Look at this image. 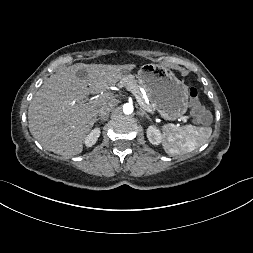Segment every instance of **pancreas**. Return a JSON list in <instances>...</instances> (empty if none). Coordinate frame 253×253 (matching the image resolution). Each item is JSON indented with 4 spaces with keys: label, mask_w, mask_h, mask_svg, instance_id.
Returning a JSON list of instances; mask_svg holds the SVG:
<instances>
[{
    "label": "pancreas",
    "mask_w": 253,
    "mask_h": 253,
    "mask_svg": "<svg viewBox=\"0 0 253 253\" xmlns=\"http://www.w3.org/2000/svg\"><path fill=\"white\" fill-rule=\"evenodd\" d=\"M120 87H132L140 97H142V93L140 91V86L138 85L137 81L134 79L133 76H126L124 77L120 83ZM150 108H154L152 105L149 106Z\"/></svg>",
    "instance_id": "cf45deb5"
}]
</instances>
